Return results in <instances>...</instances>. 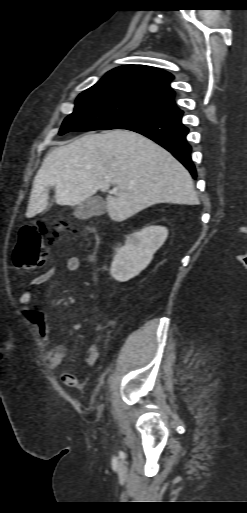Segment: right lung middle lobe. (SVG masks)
<instances>
[{"instance_id": "dd1d6c3e", "label": "right lung middle lobe", "mask_w": 247, "mask_h": 513, "mask_svg": "<svg viewBox=\"0 0 247 513\" xmlns=\"http://www.w3.org/2000/svg\"><path fill=\"white\" fill-rule=\"evenodd\" d=\"M171 111V107L154 104L136 93L103 87L89 89L78 96L74 111L65 118L59 134L120 129L125 124Z\"/></svg>"}]
</instances>
